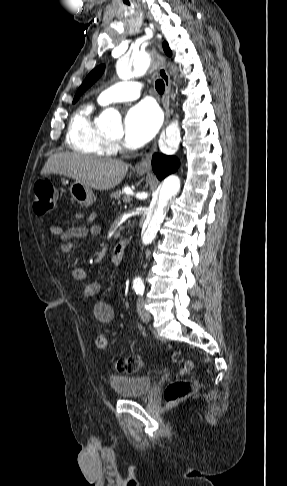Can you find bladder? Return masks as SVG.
I'll return each instance as SVG.
<instances>
[{"label": "bladder", "mask_w": 287, "mask_h": 486, "mask_svg": "<svg viewBox=\"0 0 287 486\" xmlns=\"http://www.w3.org/2000/svg\"><path fill=\"white\" fill-rule=\"evenodd\" d=\"M109 384L117 396L134 398L149 393L153 379L146 375L112 376L109 378Z\"/></svg>", "instance_id": "31cf9c89"}]
</instances>
